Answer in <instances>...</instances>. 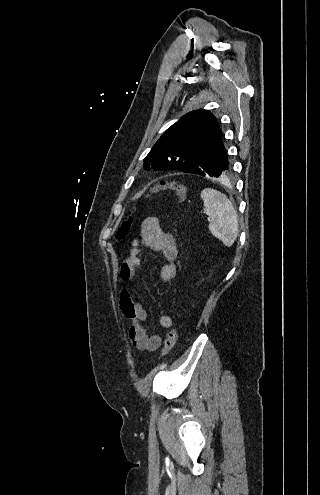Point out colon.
Segmentation results:
<instances>
[{
    "mask_svg": "<svg viewBox=\"0 0 320 495\" xmlns=\"http://www.w3.org/2000/svg\"><path fill=\"white\" fill-rule=\"evenodd\" d=\"M164 190L172 192L180 201H184L186 199L187 189L183 184L177 181H162L159 183L158 186L155 187L154 192H159ZM129 227H130V222L124 223L117 232V238L123 239L127 235ZM177 339H178V329L176 326H173L166 335V339L161 353L162 358L170 353Z\"/></svg>",
    "mask_w": 320,
    "mask_h": 495,
    "instance_id": "5ec220e1",
    "label": "colon"
}]
</instances>
